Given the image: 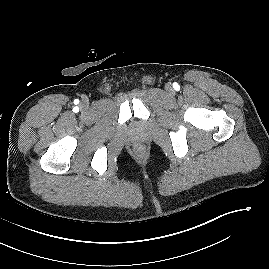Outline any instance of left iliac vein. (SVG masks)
I'll return each instance as SVG.
<instances>
[{
  "label": "left iliac vein",
  "instance_id": "4c4485c4",
  "mask_svg": "<svg viewBox=\"0 0 269 269\" xmlns=\"http://www.w3.org/2000/svg\"><path fill=\"white\" fill-rule=\"evenodd\" d=\"M166 90L169 91V92H171V91H172V87H171V85L168 84V85L166 86Z\"/></svg>",
  "mask_w": 269,
  "mask_h": 269
}]
</instances>
